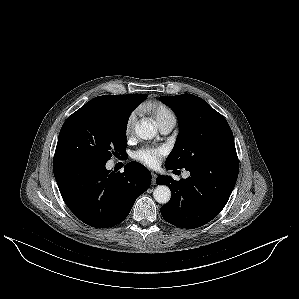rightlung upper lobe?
Returning <instances> with one entry per match:
<instances>
[{
    "label": "right lung upper lobe",
    "mask_w": 299,
    "mask_h": 299,
    "mask_svg": "<svg viewBox=\"0 0 299 299\" xmlns=\"http://www.w3.org/2000/svg\"><path fill=\"white\" fill-rule=\"evenodd\" d=\"M142 95L143 94L103 95L94 98L91 102H109V103H116V104H121L130 107V106L137 105L141 101Z\"/></svg>",
    "instance_id": "cb5924a9"
}]
</instances>
